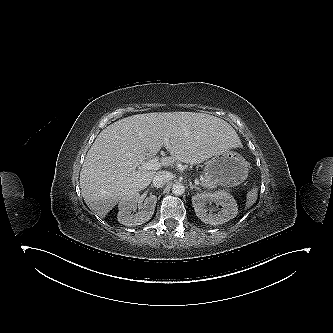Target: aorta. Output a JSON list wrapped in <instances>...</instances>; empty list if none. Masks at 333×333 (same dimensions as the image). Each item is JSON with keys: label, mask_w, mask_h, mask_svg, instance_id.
I'll return each instance as SVG.
<instances>
[{"label": "aorta", "mask_w": 333, "mask_h": 333, "mask_svg": "<svg viewBox=\"0 0 333 333\" xmlns=\"http://www.w3.org/2000/svg\"><path fill=\"white\" fill-rule=\"evenodd\" d=\"M185 192V186L182 183H175L172 186V193L175 195H182Z\"/></svg>", "instance_id": "1"}]
</instances>
